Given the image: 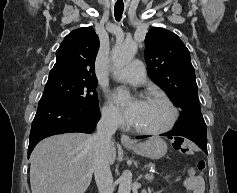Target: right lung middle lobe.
<instances>
[{"mask_svg": "<svg viewBox=\"0 0 237 193\" xmlns=\"http://www.w3.org/2000/svg\"><path fill=\"white\" fill-rule=\"evenodd\" d=\"M96 86L97 80L49 74L40 101H56L74 108L87 110L98 109Z\"/></svg>", "mask_w": 237, "mask_h": 193, "instance_id": "right-lung-middle-lobe-1", "label": "right lung middle lobe"}]
</instances>
